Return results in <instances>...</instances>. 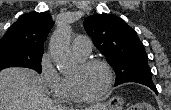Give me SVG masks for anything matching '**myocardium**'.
<instances>
[{
    "label": "myocardium",
    "instance_id": "1",
    "mask_svg": "<svg viewBox=\"0 0 171 110\" xmlns=\"http://www.w3.org/2000/svg\"><path fill=\"white\" fill-rule=\"evenodd\" d=\"M94 65H99L106 70V72H107L106 86L103 89V91L97 95L84 96L78 91L74 82L70 78H68V84H69V90H70L71 97L74 101H76L78 103L88 104V103L96 102V101L103 99L110 92V90L114 84L113 69H112L111 65L109 63H107L106 61L101 60V59H87V60H81L79 63V67L81 69H86V68H89Z\"/></svg>",
    "mask_w": 171,
    "mask_h": 110
}]
</instances>
